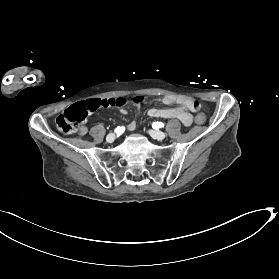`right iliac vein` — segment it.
Instances as JSON below:
<instances>
[{
	"label": "right iliac vein",
	"instance_id": "right-iliac-vein-1",
	"mask_svg": "<svg viewBox=\"0 0 279 279\" xmlns=\"http://www.w3.org/2000/svg\"><path fill=\"white\" fill-rule=\"evenodd\" d=\"M115 140V134L114 133H110L107 135L106 137V141L109 143H112Z\"/></svg>",
	"mask_w": 279,
	"mask_h": 279
}]
</instances>
